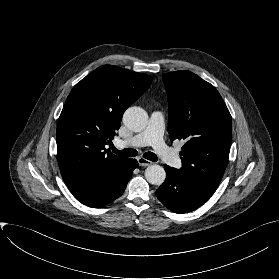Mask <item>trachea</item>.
<instances>
[{"instance_id":"obj_1","label":"trachea","mask_w":279,"mask_h":279,"mask_svg":"<svg viewBox=\"0 0 279 279\" xmlns=\"http://www.w3.org/2000/svg\"><path fill=\"white\" fill-rule=\"evenodd\" d=\"M111 149L115 154L123 157H135L138 154V152L135 149H131V148L117 150L115 147H111ZM143 157L153 162H156L158 160L156 154H154L153 152H146L143 154Z\"/></svg>"}]
</instances>
